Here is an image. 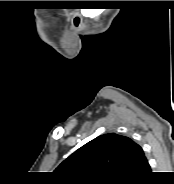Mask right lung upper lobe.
Segmentation results:
<instances>
[{"mask_svg":"<svg viewBox=\"0 0 174 184\" xmlns=\"http://www.w3.org/2000/svg\"><path fill=\"white\" fill-rule=\"evenodd\" d=\"M148 161L130 138L104 134L83 145L54 171L68 184H115L131 180Z\"/></svg>","mask_w":174,"mask_h":184,"instance_id":"right-lung-upper-lobe-1","label":"right lung upper lobe"}]
</instances>
